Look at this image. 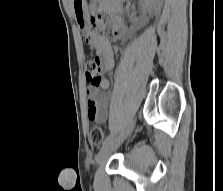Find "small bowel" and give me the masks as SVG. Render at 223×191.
Here are the masks:
<instances>
[{"instance_id":"small-bowel-1","label":"small bowel","mask_w":223,"mask_h":191,"mask_svg":"<svg viewBox=\"0 0 223 191\" xmlns=\"http://www.w3.org/2000/svg\"><path fill=\"white\" fill-rule=\"evenodd\" d=\"M108 22L101 16L96 20V29L87 34V42L96 50L101 59V72L106 73L114 66V52L109 39L101 32L106 29ZM126 32V26L123 21H114L113 35L116 39H122ZM110 87L109 80L102 78L99 86L90 85L87 89V115L92 121L105 123L109 117V96L101 90H107Z\"/></svg>"}]
</instances>
